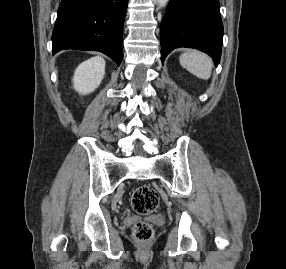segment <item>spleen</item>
<instances>
[{
  "label": "spleen",
  "mask_w": 286,
  "mask_h": 269,
  "mask_svg": "<svg viewBox=\"0 0 286 269\" xmlns=\"http://www.w3.org/2000/svg\"><path fill=\"white\" fill-rule=\"evenodd\" d=\"M180 64L200 79L211 77L212 60L202 52L193 50L182 54Z\"/></svg>",
  "instance_id": "spleen-1"
}]
</instances>
